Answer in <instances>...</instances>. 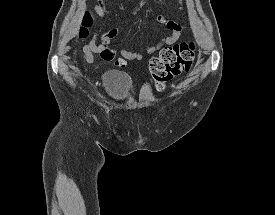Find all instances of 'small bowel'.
Returning <instances> with one entry per match:
<instances>
[{
	"label": "small bowel",
	"instance_id": "obj_1",
	"mask_svg": "<svg viewBox=\"0 0 275 215\" xmlns=\"http://www.w3.org/2000/svg\"><path fill=\"white\" fill-rule=\"evenodd\" d=\"M94 10L99 17L104 19L107 15L111 14V11L106 8L103 1L96 3L94 5ZM158 24L165 26L170 30L169 34L164 35L159 41L153 45H146L144 51L147 54H152L159 51L166 45L175 43L183 31V26L177 24L174 21L167 19L164 16H158L156 18ZM100 27L92 36L90 41L84 46V53L86 56V61L91 63L94 59L93 53L99 54L100 57L105 61H112L115 58L116 50L110 47V42L113 41L118 36L117 30H110L107 32H102ZM121 56L126 60H143L144 54L140 50H126L122 49L120 51Z\"/></svg>",
	"mask_w": 275,
	"mask_h": 215
}]
</instances>
